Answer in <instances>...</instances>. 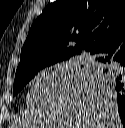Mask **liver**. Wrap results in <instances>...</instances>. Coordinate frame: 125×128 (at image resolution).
Segmentation results:
<instances>
[{"mask_svg": "<svg viewBox=\"0 0 125 128\" xmlns=\"http://www.w3.org/2000/svg\"><path fill=\"white\" fill-rule=\"evenodd\" d=\"M18 128H122L113 88L84 69L64 64L44 76L26 97Z\"/></svg>", "mask_w": 125, "mask_h": 128, "instance_id": "6515ba94", "label": "liver"}]
</instances>
